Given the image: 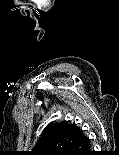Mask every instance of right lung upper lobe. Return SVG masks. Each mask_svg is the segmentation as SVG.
Segmentation results:
<instances>
[{
	"instance_id": "right-lung-upper-lobe-1",
	"label": "right lung upper lobe",
	"mask_w": 119,
	"mask_h": 155,
	"mask_svg": "<svg viewBox=\"0 0 119 155\" xmlns=\"http://www.w3.org/2000/svg\"><path fill=\"white\" fill-rule=\"evenodd\" d=\"M84 137L76 124L67 121L49 123L29 155H63L75 142Z\"/></svg>"
}]
</instances>
